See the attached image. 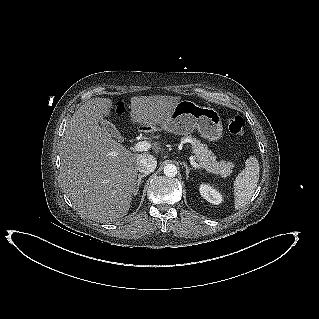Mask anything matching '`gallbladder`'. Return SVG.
<instances>
[{
  "label": "gallbladder",
  "instance_id": "1",
  "mask_svg": "<svg viewBox=\"0 0 319 319\" xmlns=\"http://www.w3.org/2000/svg\"><path fill=\"white\" fill-rule=\"evenodd\" d=\"M100 124L113 138L117 139L118 142H123L124 138L121 136L120 132L116 129L115 125L109 120L102 119Z\"/></svg>",
  "mask_w": 319,
  "mask_h": 319
}]
</instances>
